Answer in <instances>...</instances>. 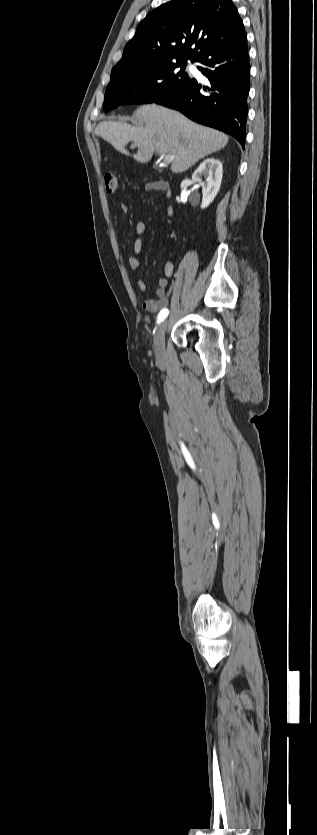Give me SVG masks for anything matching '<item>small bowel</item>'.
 <instances>
[{"mask_svg":"<svg viewBox=\"0 0 317 835\" xmlns=\"http://www.w3.org/2000/svg\"><path fill=\"white\" fill-rule=\"evenodd\" d=\"M147 190H159L157 183H150L147 185ZM122 210L125 212L127 210L126 206L122 205ZM166 213L168 216L173 214V209L168 207L166 209ZM146 230V224L143 221H140L136 224L135 227V234L136 238L134 240L133 245V252L134 254L128 258V266L132 271L137 272L140 269L141 262L138 258V255L142 251L143 241L142 235ZM174 273V262L169 260L166 262L164 266V274L158 281L156 296L154 298H150L144 301L143 308L151 313L159 311L161 308L165 307L168 302L169 298L166 293V288L169 283L170 278L173 276ZM137 286L140 292L145 293L148 289L147 284L144 282L143 279L140 277L137 278Z\"/></svg>","mask_w":317,"mask_h":835,"instance_id":"c3829d8e","label":"small bowel"}]
</instances>
